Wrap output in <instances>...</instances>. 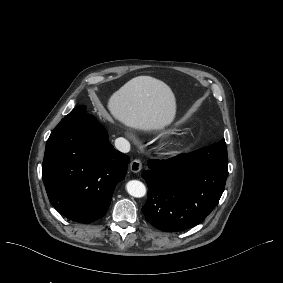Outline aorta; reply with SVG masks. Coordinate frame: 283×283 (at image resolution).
I'll return each instance as SVG.
<instances>
[{
	"label": "aorta",
	"instance_id": "obj_1",
	"mask_svg": "<svg viewBox=\"0 0 283 283\" xmlns=\"http://www.w3.org/2000/svg\"><path fill=\"white\" fill-rule=\"evenodd\" d=\"M127 192L136 198H141L146 194L145 185L138 180H131L126 184Z\"/></svg>",
	"mask_w": 283,
	"mask_h": 283
}]
</instances>
